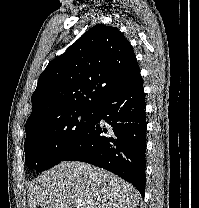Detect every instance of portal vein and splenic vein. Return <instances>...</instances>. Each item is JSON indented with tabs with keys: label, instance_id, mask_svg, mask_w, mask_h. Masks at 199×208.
Listing matches in <instances>:
<instances>
[{
	"label": "portal vein and splenic vein",
	"instance_id": "18ae733b",
	"mask_svg": "<svg viewBox=\"0 0 199 208\" xmlns=\"http://www.w3.org/2000/svg\"><path fill=\"white\" fill-rule=\"evenodd\" d=\"M76 207L79 208L80 207V204L79 203H76Z\"/></svg>",
	"mask_w": 199,
	"mask_h": 208
}]
</instances>
